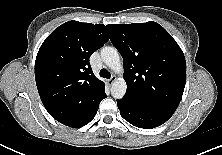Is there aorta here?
I'll list each match as a JSON object with an SVG mask.
<instances>
[{
  "instance_id": "aorta-1",
  "label": "aorta",
  "mask_w": 222,
  "mask_h": 155,
  "mask_svg": "<svg viewBox=\"0 0 222 155\" xmlns=\"http://www.w3.org/2000/svg\"><path fill=\"white\" fill-rule=\"evenodd\" d=\"M101 58L103 62L114 72L122 73L123 65L121 63L119 52L115 47L106 46L101 49ZM127 89V84L124 78L119 77L112 82L111 95L115 99H121Z\"/></svg>"
}]
</instances>
